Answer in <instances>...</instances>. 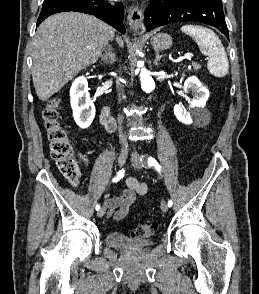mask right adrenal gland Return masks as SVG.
<instances>
[{"instance_id":"2a0ac1e0","label":"right adrenal gland","mask_w":259,"mask_h":294,"mask_svg":"<svg viewBox=\"0 0 259 294\" xmlns=\"http://www.w3.org/2000/svg\"><path fill=\"white\" fill-rule=\"evenodd\" d=\"M101 61L106 64H112L115 61V55L111 46H108L105 54L101 55Z\"/></svg>"}]
</instances>
